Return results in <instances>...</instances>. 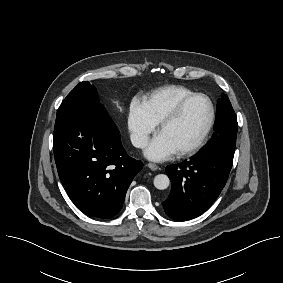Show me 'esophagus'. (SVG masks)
<instances>
[{
  "label": "esophagus",
  "instance_id": "esophagus-1",
  "mask_svg": "<svg viewBox=\"0 0 283 283\" xmlns=\"http://www.w3.org/2000/svg\"><path fill=\"white\" fill-rule=\"evenodd\" d=\"M148 168H150L152 171H156L158 169V166L154 163H148Z\"/></svg>",
  "mask_w": 283,
  "mask_h": 283
}]
</instances>
